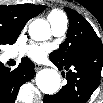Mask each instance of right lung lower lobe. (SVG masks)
<instances>
[{"label":"right lung lower lobe","instance_id":"98d812e1","mask_svg":"<svg viewBox=\"0 0 103 103\" xmlns=\"http://www.w3.org/2000/svg\"><path fill=\"white\" fill-rule=\"evenodd\" d=\"M34 64L25 58L19 66L10 71L0 63V103H14L19 88L34 77Z\"/></svg>","mask_w":103,"mask_h":103}]
</instances>
